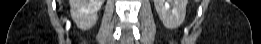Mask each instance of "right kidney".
<instances>
[{
  "mask_svg": "<svg viewBox=\"0 0 261 44\" xmlns=\"http://www.w3.org/2000/svg\"><path fill=\"white\" fill-rule=\"evenodd\" d=\"M103 0H70L71 16L76 25L87 30L92 28L98 19L99 11Z\"/></svg>",
  "mask_w": 261,
  "mask_h": 44,
  "instance_id": "obj_1",
  "label": "right kidney"
}]
</instances>
